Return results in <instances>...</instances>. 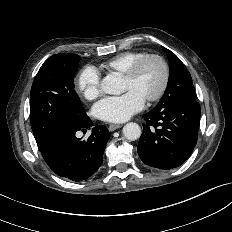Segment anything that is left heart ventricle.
<instances>
[{
    "mask_svg": "<svg viewBox=\"0 0 232 232\" xmlns=\"http://www.w3.org/2000/svg\"><path fill=\"white\" fill-rule=\"evenodd\" d=\"M162 80V70L155 61L144 64L140 72L134 79L124 78V89L135 90L144 99L153 95L159 88Z\"/></svg>",
    "mask_w": 232,
    "mask_h": 232,
    "instance_id": "obj_1",
    "label": "left heart ventricle"
}]
</instances>
